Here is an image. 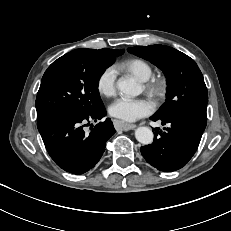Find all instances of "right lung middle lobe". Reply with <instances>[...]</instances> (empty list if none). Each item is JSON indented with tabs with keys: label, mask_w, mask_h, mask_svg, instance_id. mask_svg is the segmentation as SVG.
I'll list each match as a JSON object with an SVG mask.
<instances>
[{
	"label": "right lung middle lobe",
	"mask_w": 231,
	"mask_h": 231,
	"mask_svg": "<svg viewBox=\"0 0 231 231\" xmlns=\"http://www.w3.org/2000/svg\"><path fill=\"white\" fill-rule=\"evenodd\" d=\"M114 61L87 48L73 50L54 61L44 73L37 94V121L61 114L83 116L102 108L99 79Z\"/></svg>",
	"instance_id": "obj_1"
}]
</instances>
